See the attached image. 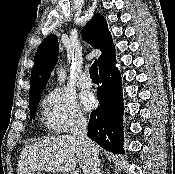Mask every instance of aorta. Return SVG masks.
<instances>
[{
    "instance_id": "1",
    "label": "aorta",
    "mask_w": 175,
    "mask_h": 174,
    "mask_svg": "<svg viewBox=\"0 0 175 174\" xmlns=\"http://www.w3.org/2000/svg\"><path fill=\"white\" fill-rule=\"evenodd\" d=\"M59 81L63 82L65 80V72L61 69L58 73Z\"/></svg>"
}]
</instances>
